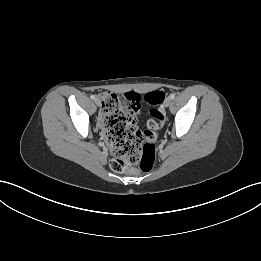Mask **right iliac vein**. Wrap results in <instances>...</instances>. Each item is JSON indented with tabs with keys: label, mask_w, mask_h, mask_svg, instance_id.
<instances>
[{
	"label": "right iliac vein",
	"mask_w": 261,
	"mask_h": 261,
	"mask_svg": "<svg viewBox=\"0 0 261 261\" xmlns=\"http://www.w3.org/2000/svg\"><path fill=\"white\" fill-rule=\"evenodd\" d=\"M95 103L97 106H100L101 100L99 98H95Z\"/></svg>",
	"instance_id": "1"
}]
</instances>
